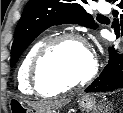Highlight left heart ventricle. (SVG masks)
<instances>
[{"instance_id":"obj_1","label":"left heart ventricle","mask_w":123,"mask_h":113,"mask_svg":"<svg viewBox=\"0 0 123 113\" xmlns=\"http://www.w3.org/2000/svg\"><path fill=\"white\" fill-rule=\"evenodd\" d=\"M91 69V58L84 46L77 42H64L42 62L40 73L48 86L69 84L80 80Z\"/></svg>"}]
</instances>
